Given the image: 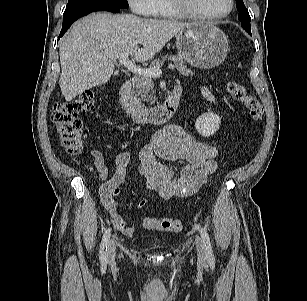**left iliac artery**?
Returning a JSON list of instances; mask_svg holds the SVG:
<instances>
[{
  "instance_id": "left-iliac-artery-1",
  "label": "left iliac artery",
  "mask_w": 307,
  "mask_h": 301,
  "mask_svg": "<svg viewBox=\"0 0 307 301\" xmlns=\"http://www.w3.org/2000/svg\"><path fill=\"white\" fill-rule=\"evenodd\" d=\"M198 230L200 232V235H201V237L203 239V242H204V245H205V248H206L208 261H209V263H214L215 262V257H214V254H213V250H212L209 234L207 233L206 229L203 228L200 225H198Z\"/></svg>"
}]
</instances>
